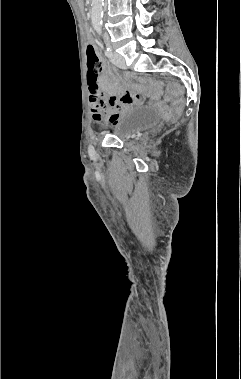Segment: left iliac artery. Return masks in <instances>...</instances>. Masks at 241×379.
I'll return each instance as SVG.
<instances>
[{
  "label": "left iliac artery",
  "mask_w": 241,
  "mask_h": 379,
  "mask_svg": "<svg viewBox=\"0 0 241 379\" xmlns=\"http://www.w3.org/2000/svg\"><path fill=\"white\" fill-rule=\"evenodd\" d=\"M97 32H98L99 35L102 34V31H101L100 28H97ZM106 46H107V48H106V50H105V55H106L107 57L111 58V57L113 56V52H112V50H111L110 44L107 42V43H106Z\"/></svg>",
  "instance_id": "obj_1"
}]
</instances>
